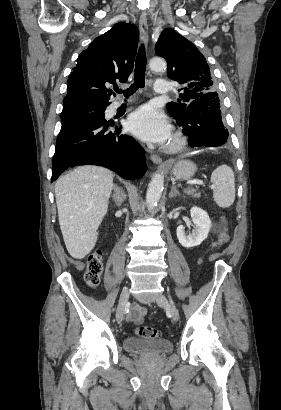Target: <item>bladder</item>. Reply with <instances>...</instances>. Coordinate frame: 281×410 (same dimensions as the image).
<instances>
[{
  "label": "bladder",
  "mask_w": 281,
  "mask_h": 410,
  "mask_svg": "<svg viewBox=\"0 0 281 410\" xmlns=\"http://www.w3.org/2000/svg\"><path fill=\"white\" fill-rule=\"evenodd\" d=\"M124 350L133 355L155 358L169 353L173 344L165 339H141L128 337L123 343Z\"/></svg>",
  "instance_id": "1"
}]
</instances>
